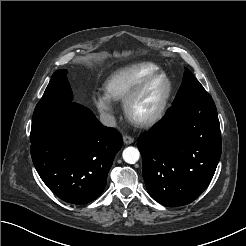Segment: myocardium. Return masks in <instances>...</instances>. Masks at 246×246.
Instances as JSON below:
<instances>
[{
	"instance_id": "f54148a6",
	"label": "myocardium",
	"mask_w": 246,
	"mask_h": 246,
	"mask_svg": "<svg viewBox=\"0 0 246 246\" xmlns=\"http://www.w3.org/2000/svg\"><path fill=\"white\" fill-rule=\"evenodd\" d=\"M165 78L168 83L167 93L159 106V108L151 115L146 117H138L133 110L135 102L141 96L146 87L157 78ZM173 94V82L171 78L163 71H159L149 76L145 77L142 81H140L126 96L124 99V110L128 119L133 122L137 126L148 127L155 123H157L161 118L165 115L170 100Z\"/></svg>"
}]
</instances>
